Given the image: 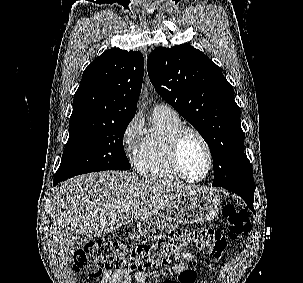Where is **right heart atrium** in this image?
I'll return each instance as SVG.
<instances>
[{
  "mask_svg": "<svg viewBox=\"0 0 303 283\" xmlns=\"http://www.w3.org/2000/svg\"><path fill=\"white\" fill-rule=\"evenodd\" d=\"M142 123L135 116L125 126L122 133V145L126 153L134 154L141 144Z\"/></svg>",
  "mask_w": 303,
  "mask_h": 283,
  "instance_id": "d8ad5b80",
  "label": "right heart atrium"
}]
</instances>
